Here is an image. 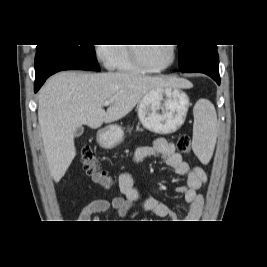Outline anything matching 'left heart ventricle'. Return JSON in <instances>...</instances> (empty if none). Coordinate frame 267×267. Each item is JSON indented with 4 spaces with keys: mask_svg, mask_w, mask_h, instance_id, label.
I'll return each mask as SVG.
<instances>
[{
    "mask_svg": "<svg viewBox=\"0 0 267 267\" xmlns=\"http://www.w3.org/2000/svg\"><path fill=\"white\" fill-rule=\"evenodd\" d=\"M142 61L150 67H162L169 63L172 57L170 44L138 46Z\"/></svg>",
    "mask_w": 267,
    "mask_h": 267,
    "instance_id": "left-heart-ventricle-1",
    "label": "left heart ventricle"
}]
</instances>
